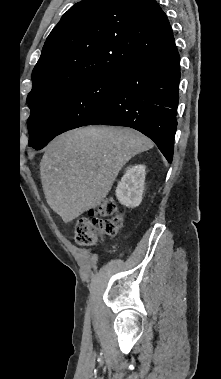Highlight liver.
<instances>
[{"instance_id": "liver-1", "label": "liver", "mask_w": 221, "mask_h": 379, "mask_svg": "<svg viewBox=\"0 0 221 379\" xmlns=\"http://www.w3.org/2000/svg\"><path fill=\"white\" fill-rule=\"evenodd\" d=\"M153 142L131 128L89 126L56 137L40 162L46 201L64 222L96 207L121 168Z\"/></svg>"}]
</instances>
